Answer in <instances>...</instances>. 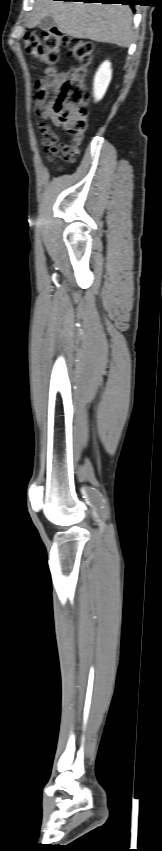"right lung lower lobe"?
Returning a JSON list of instances; mask_svg holds the SVG:
<instances>
[{"label": "right lung lower lobe", "instance_id": "right-lung-lower-lobe-1", "mask_svg": "<svg viewBox=\"0 0 162 851\" xmlns=\"http://www.w3.org/2000/svg\"><path fill=\"white\" fill-rule=\"evenodd\" d=\"M64 1H83V2H100L103 4H117L120 3L122 5H134V2L137 0H64Z\"/></svg>", "mask_w": 162, "mask_h": 851}]
</instances>
